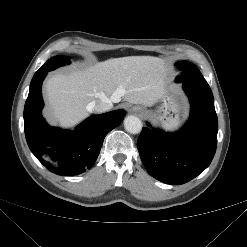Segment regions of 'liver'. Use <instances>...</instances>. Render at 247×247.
<instances>
[{"mask_svg": "<svg viewBox=\"0 0 247 247\" xmlns=\"http://www.w3.org/2000/svg\"><path fill=\"white\" fill-rule=\"evenodd\" d=\"M165 65L153 56L111 58L68 74H55L45 84L48 113L61 127H73L88 114L93 100L112 98L144 106L165 94Z\"/></svg>", "mask_w": 247, "mask_h": 247, "instance_id": "liver-1", "label": "liver"}]
</instances>
